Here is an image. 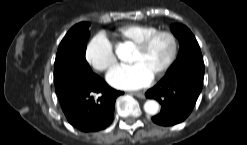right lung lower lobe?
Instances as JSON below:
<instances>
[{"label":"right lung lower lobe","mask_w":247,"mask_h":145,"mask_svg":"<svg viewBox=\"0 0 247 145\" xmlns=\"http://www.w3.org/2000/svg\"><path fill=\"white\" fill-rule=\"evenodd\" d=\"M54 83L62 110L75 128L91 132L111 124L115 100L123 92L112 89L93 72L83 70L69 72Z\"/></svg>","instance_id":"obj_1"}]
</instances>
